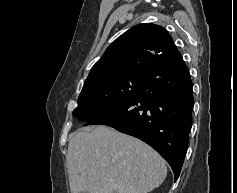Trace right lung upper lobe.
I'll use <instances>...</instances> for the list:
<instances>
[{
	"mask_svg": "<svg viewBox=\"0 0 237 193\" xmlns=\"http://www.w3.org/2000/svg\"><path fill=\"white\" fill-rule=\"evenodd\" d=\"M178 51L172 37L155 24L143 23L118 37L92 67L84 86L125 75H145L161 58Z\"/></svg>",
	"mask_w": 237,
	"mask_h": 193,
	"instance_id": "right-lung-upper-lobe-1",
	"label": "right lung upper lobe"
}]
</instances>
